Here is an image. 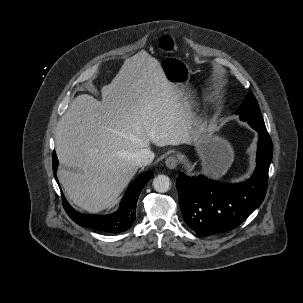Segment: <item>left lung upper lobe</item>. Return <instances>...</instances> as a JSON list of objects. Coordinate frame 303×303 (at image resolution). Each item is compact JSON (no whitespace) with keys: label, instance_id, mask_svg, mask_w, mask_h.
<instances>
[{"label":"left lung upper lobe","instance_id":"5c2ea615","mask_svg":"<svg viewBox=\"0 0 303 303\" xmlns=\"http://www.w3.org/2000/svg\"><path fill=\"white\" fill-rule=\"evenodd\" d=\"M237 114L240 115L243 121L256 123L258 126L266 128L256 98L252 94L246 96Z\"/></svg>","mask_w":303,"mask_h":303}]
</instances>
